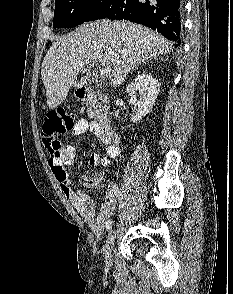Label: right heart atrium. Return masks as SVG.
Segmentation results:
<instances>
[{"mask_svg": "<svg viewBox=\"0 0 233 294\" xmlns=\"http://www.w3.org/2000/svg\"><path fill=\"white\" fill-rule=\"evenodd\" d=\"M90 7H93V5H92V4H90Z\"/></svg>", "mask_w": 233, "mask_h": 294, "instance_id": "obj_1", "label": "right heart atrium"}]
</instances>
